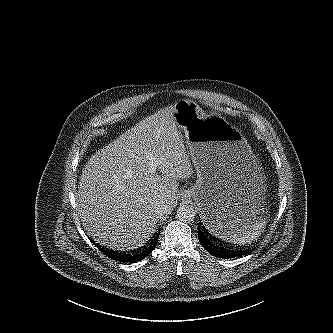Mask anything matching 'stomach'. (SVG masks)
Masks as SVG:
<instances>
[{"label": "stomach", "instance_id": "stomach-1", "mask_svg": "<svg viewBox=\"0 0 333 333\" xmlns=\"http://www.w3.org/2000/svg\"><path fill=\"white\" fill-rule=\"evenodd\" d=\"M173 107L197 173L185 196L196 202L205 225L220 239L237 242L252 235L266 221V187L245 136L222 116L204 113L192 100H179Z\"/></svg>", "mask_w": 333, "mask_h": 333}]
</instances>
